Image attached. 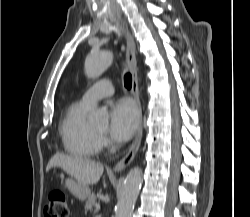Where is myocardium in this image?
<instances>
[{
    "instance_id": "obj_1",
    "label": "myocardium",
    "mask_w": 250,
    "mask_h": 217,
    "mask_svg": "<svg viewBox=\"0 0 250 217\" xmlns=\"http://www.w3.org/2000/svg\"><path fill=\"white\" fill-rule=\"evenodd\" d=\"M94 131H95V133H96L99 137L103 135V133H100V132L96 131L95 129H94Z\"/></svg>"
}]
</instances>
